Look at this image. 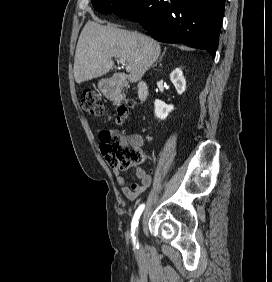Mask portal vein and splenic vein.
I'll return each mask as SVG.
<instances>
[{"label": "portal vein and splenic vein", "instance_id": "portal-vein-and-splenic-vein-1", "mask_svg": "<svg viewBox=\"0 0 272 282\" xmlns=\"http://www.w3.org/2000/svg\"><path fill=\"white\" fill-rule=\"evenodd\" d=\"M119 62H120L121 64H123V65H126V70H127V71L131 69L130 66L125 63L124 60H119Z\"/></svg>", "mask_w": 272, "mask_h": 282}]
</instances>
